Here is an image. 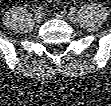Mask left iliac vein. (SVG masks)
<instances>
[{
  "label": "left iliac vein",
  "instance_id": "1",
  "mask_svg": "<svg viewBox=\"0 0 111 106\" xmlns=\"http://www.w3.org/2000/svg\"><path fill=\"white\" fill-rule=\"evenodd\" d=\"M63 15V13H62ZM64 15L71 21L75 20V15L73 13H64Z\"/></svg>",
  "mask_w": 111,
  "mask_h": 106
}]
</instances>
